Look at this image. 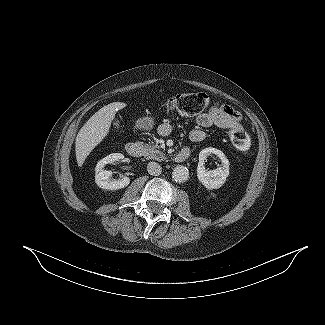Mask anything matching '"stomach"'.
Returning a JSON list of instances; mask_svg holds the SVG:
<instances>
[{"label": "stomach", "mask_w": 325, "mask_h": 325, "mask_svg": "<svg viewBox=\"0 0 325 325\" xmlns=\"http://www.w3.org/2000/svg\"><path fill=\"white\" fill-rule=\"evenodd\" d=\"M154 126V119L152 117H143L136 123V127L141 130H151Z\"/></svg>", "instance_id": "stomach-1"}]
</instances>
